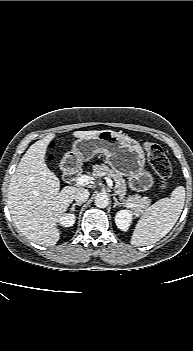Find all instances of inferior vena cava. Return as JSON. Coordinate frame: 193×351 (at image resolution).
I'll return each mask as SVG.
<instances>
[{
    "mask_svg": "<svg viewBox=\"0 0 193 351\" xmlns=\"http://www.w3.org/2000/svg\"><path fill=\"white\" fill-rule=\"evenodd\" d=\"M89 191L85 188H79L74 195V200L78 203H84L89 198Z\"/></svg>",
    "mask_w": 193,
    "mask_h": 351,
    "instance_id": "602c4592",
    "label": "inferior vena cava"
}]
</instances>
